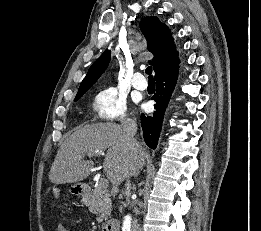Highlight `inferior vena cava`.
I'll list each match as a JSON object with an SVG mask.
<instances>
[{
    "label": "inferior vena cava",
    "mask_w": 261,
    "mask_h": 231,
    "mask_svg": "<svg viewBox=\"0 0 261 231\" xmlns=\"http://www.w3.org/2000/svg\"><path fill=\"white\" fill-rule=\"evenodd\" d=\"M123 138L127 146L129 147L133 158H137L141 152V146L135 140L134 136L137 131V124L132 119H125L122 122ZM130 174L126 175V184H125V196L129 204V198L131 194V182L129 180ZM131 231H140L137 224V220L134 218L131 224Z\"/></svg>",
    "instance_id": "inferior-vena-cava-1"
}]
</instances>
